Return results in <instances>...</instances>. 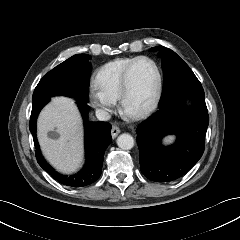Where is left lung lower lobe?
Instances as JSON below:
<instances>
[{"label": "left lung lower lobe", "instance_id": "obj_1", "mask_svg": "<svg viewBox=\"0 0 240 240\" xmlns=\"http://www.w3.org/2000/svg\"><path fill=\"white\" fill-rule=\"evenodd\" d=\"M177 96L159 108L136 129L141 172L155 182H170L182 177L201 158L209 124L205 96ZM172 133L175 144L165 147L163 137Z\"/></svg>", "mask_w": 240, "mask_h": 240}]
</instances>
